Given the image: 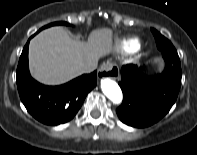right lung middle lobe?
Wrapping results in <instances>:
<instances>
[{
  "instance_id": "1",
  "label": "right lung middle lobe",
  "mask_w": 197,
  "mask_h": 155,
  "mask_svg": "<svg viewBox=\"0 0 197 155\" xmlns=\"http://www.w3.org/2000/svg\"><path fill=\"white\" fill-rule=\"evenodd\" d=\"M54 25H68V23H66V22H54V23L48 24V25L45 26L44 28L50 27V26H54ZM42 29H43V28H42Z\"/></svg>"
}]
</instances>
